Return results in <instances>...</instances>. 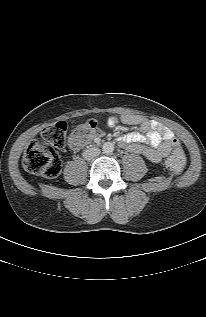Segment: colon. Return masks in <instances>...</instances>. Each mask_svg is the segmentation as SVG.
Returning a JSON list of instances; mask_svg holds the SVG:
<instances>
[{
	"instance_id": "colon-1",
	"label": "colon",
	"mask_w": 206,
	"mask_h": 317,
	"mask_svg": "<svg viewBox=\"0 0 206 317\" xmlns=\"http://www.w3.org/2000/svg\"><path fill=\"white\" fill-rule=\"evenodd\" d=\"M98 131V122L89 120L79 126L73 133L77 141H86ZM67 124L59 121L45 127L41 138L35 140L25 151L23 157L24 168L37 176L54 178L59 175L62 162L56 149L64 147L66 143ZM186 163V158L179 146H174L173 154L166 160L168 169L180 173Z\"/></svg>"
}]
</instances>
